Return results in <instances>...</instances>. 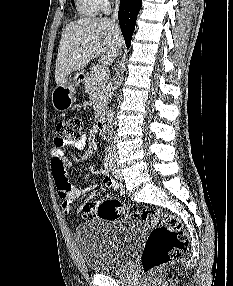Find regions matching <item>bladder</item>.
I'll list each match as a JSON object with an SVG mask.
<instances>
[{
    "mask_svg": "<svg viewBox=\"0 0 233 286\" xmlns=\"http://www.w3.org/2000/svg\"><path fill=\"white\" fill-rule=\"evenodd\" d=\"M145 229L139 219L95 221L78 227L74 238L87 269L109 273L126 267Z\"/></svg>",
    "mask_w": 233,
    "mask_h": 286,
    "instance_id": "bladder-1",
    "label": "bladder"
}]
</instances>
